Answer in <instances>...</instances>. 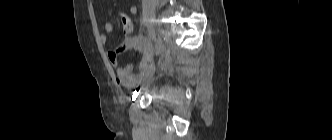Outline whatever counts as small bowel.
Segmentation results:
<instances>
[{
	"label": "small bowel",
	"mask_w": 332,
	"mask_h": 140,
	"mask_svg": "<svg viewBox=\"0 0 332 140\" xmlns=\"http://www.w3.org/2000/svg\"><path fill=\"white\" fill-rule=\"evenodd\" d=\"M131 14L137 13V7L131 6L129 9ZM104 32L100 34V40L103 44L108 42V37L114 31L112 23L106 22L104 24ZM135 49L139 54V72H134L133 63L125 66H119L117 62V56L122 51ZM108 59L115 69L117 81L126 87H134L139 85L144 80L148 79L151 75V49L147 40L142 36H128L112 50L108 52Z\"/></svg>",
	"instance_id": "small-bowel-1"
}]
</instances>
